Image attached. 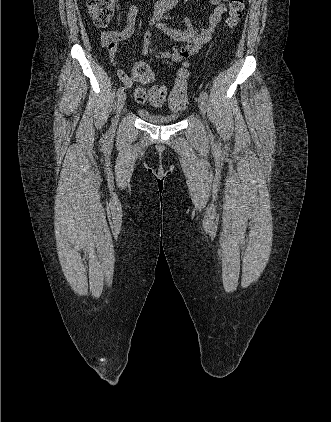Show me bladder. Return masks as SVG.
Returning <instances> with one entry per match:
<instances>
[{
  "label": "bladder",
  "mask_w": 331,
  "mask_h": 422,
  "mask_svg": "<svg viewBox=\"0 0 331 422\" xmlns=\"http://www.w3.org/2000/svg\"><path fill=\"white\" fill-rule=\"evenodd\" d=\"M138 114L147 122L157 125L173 124L179 120L178 115L152 112L144 108L139 109Z\"/></svg>",
  "instance_id": "bladder-1"
}]
</instances>
